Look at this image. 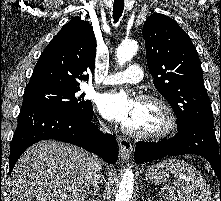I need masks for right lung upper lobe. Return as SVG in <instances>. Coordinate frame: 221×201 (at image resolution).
Instances as JSON below:
<instances>
[{"mask_svg":"<svg viewBox=\"0 0 221 201\" xmlns=\"http://www.w3.org/2000/svg\"><path fill=\"white\" fill-rule=\"evenodd\" d=\"M95 55L93 28L76 17L45 48L26 88H79V82L89 78L85 73L94 71Z\"/></svg>","mask_w":221,"mask_h":201,"instance_id":"right-lung-upper-lobe-1","label":"right lung upper lobe"}]
</instances>
